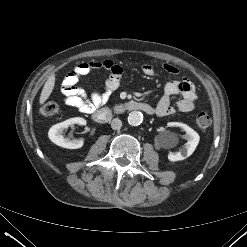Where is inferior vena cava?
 Here are the masks:
<instances>
[{
  "label": "inferior vena cava",
  "instance_id": "obj_1",
  "mask_svg": "<svg viewBox=\"0 0 247 247\" xmlns=\"http://www.w3.org/2000/svg\"><path fill=\"white\" fill-rule=\"evenodd\" d=\"M122 127V121L119 118H114L111 122V128L113 130H119Z\"/></svg>",
  "mask_w": 247,
  "mask_h": 247
}]
</instances>
